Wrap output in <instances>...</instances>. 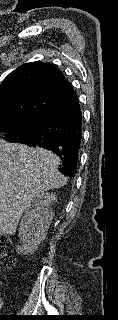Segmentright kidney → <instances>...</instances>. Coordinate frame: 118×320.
I'll list each match as a JSON object with an SVG mask.
<instances>
[{
    "instance_id": "ca27d5eb",
    "label": "right kidney",
    "mask_w": 118,
    "mask_h": 320,
    "mask_svg": "<svg viewBox=\"0 0 118 320\" xmlns=\"http://www.w3.org/2000/svg\"><path fill=\"white\" fill-rule=\"evenodd\" d=\"M56 201V193L44 192L35 199L31 209L24 213L18 233L23 252H34L45 239L54 217L52 206Z\"/></svg>"
}]
</instances>
